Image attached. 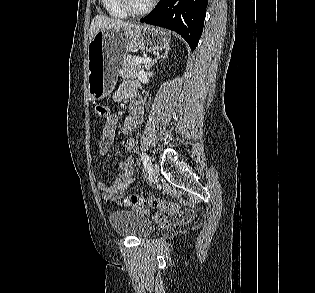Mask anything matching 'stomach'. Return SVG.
Here are the masks:
<instances>
[{"mask_svg": "<svg viewBox=\"0 0 315 293\" xmlns=\"http://www.w3.org/2000/svg\"><path fill=\"white\" fill-rule=\"evenodd\" d=\"M170 43L169 34L149 25L99 30L88 45V91L92 100L108 96L114 89L129 52L159 51Z\"/></svg>", "mask_w": 315, "mask_h": 293, "instance_id": "stomach-1", "label": "stomach"}]
</instances>
